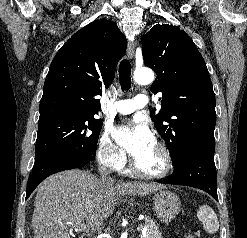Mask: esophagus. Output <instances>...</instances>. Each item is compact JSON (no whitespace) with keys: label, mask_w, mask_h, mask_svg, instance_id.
<instances>
[{"label":"esophagus","mask_w":247,"mask_h":238,"mask_svg":"<svg viewBox=\"0 0 247 238\" xmlns=\"http://www.w3.org/2000/svg\"><path fill=\"white\" fill-rule=\"evenodd\" d=\"M127 53L129 58L132 60L134 59V54H135V44L132 41L128 42V48H127Z\"/></svg>","instance_id":"obj_1"}]
</instances>
